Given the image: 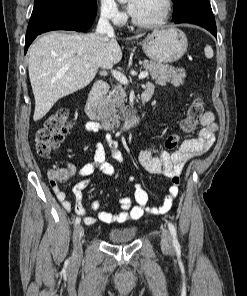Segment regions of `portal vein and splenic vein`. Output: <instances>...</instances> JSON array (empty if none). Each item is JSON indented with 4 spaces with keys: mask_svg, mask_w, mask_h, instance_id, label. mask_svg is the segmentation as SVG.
Returning <instances> with one entry per match:
<instances>
[{
    "mask_svg": "<svg viewBox=\"0 0 247 296\" xmlns=\"http://www.w3.org/2000/svg\"><path fill=\"white\" fill-rule=\"evenodd\" d=\"M86 67H90V65H86ZM111 73L112 75L114 76V78L119 81L120 83L124 84V85H127L128 84V79L126 78V76L119 72V71H116V70H111ZM149 73L147 71H143L139 74V79H144L146 77H148Z\"/></svg>",
    "mask_w": 247,
    "mask_h": 296,
    "instance_id": "portal-vein-and-splenic-vein-1",
    "label": "portal vein and splenic vein"
}]
</instances>
